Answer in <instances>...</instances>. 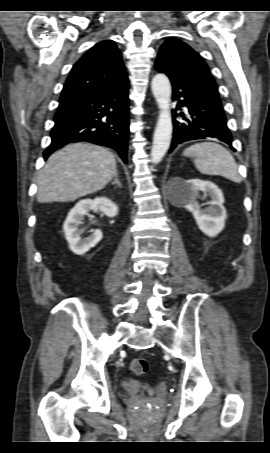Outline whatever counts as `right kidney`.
Instances as JSON below:
<instances>
[{"label":"right kidney","instance_id":"obj_1","mask_svg":"<svg viewBox=\"0 0 270 453\" xmlns=\"http://www.w3.org/2000/svg\"><path fill=\"white\" fill-rule=\"evenodd\" d=\"M90 210H100L108 217H115L118 214L117 205L106 197L79 201L75 207L70 210L63 225V231L65 238L69 243V248L77 255L85 254L103 237L100 230H95L89 237L84 239L81 238L84 231L80 229L79 226L83 224L85 215H87Z\"/></svg>","mask_w":270,"mask_h":453}]
</instances>
